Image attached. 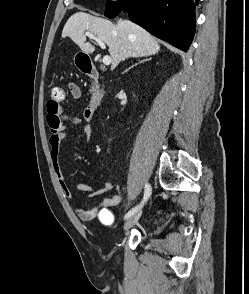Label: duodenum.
I'll list each match as a JSON object with an SVG mask.
<instances>
[{
    "label": "duodenum",
    "instance_id": "410a0bca",
    "mask_svg": "<svg viewBox=\"0 0 249 294\" xmlns=\"http://www.w3.org/2000/svg\"><path fill=\"white\" fill-rule=\"evenodd\" d=\"M82 72L88 75L93 80V82H95L99 77L98 70L90 62H87L85 65L82 66ZM101 102H102V95L97 85L93 83L89 102L85 109V112L88 118L93 117V115L96 113V111L100 107Z\"/></svg>",
    "mask_w": 249,
    "mask_h": 294
}]
</instances>
